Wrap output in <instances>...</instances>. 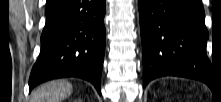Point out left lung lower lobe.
Masks as SVG:
<instances>
[{
	"mask_svg": "<svg viewBox=\"0 0 221 102\" xmlns=\"http://www.w3.org/2000/svg\"><path fill=\"white\" fill-rule=\"evenodd\" d=\"M144 87L162 76L211 83L201 0H138Z\"/></svg>",
	"mask_w": 221,
	"mask_h": 102,
	"instance_id": "1",
	"label": "left lung lower lobe"
}]
</instances>
